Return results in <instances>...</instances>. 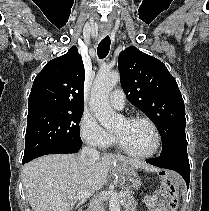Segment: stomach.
<instances>
[{"instance_id":"1","label":"stomach","mask_w":209,"mask_h":211,"mask_svg":"<svg viewBox=\"0 0 209 211\" xmlns=\"http://www.w3.org/2000/svg\"><path fill=\"white\" fill-rule=\"evenodd\" d=\"M117 174L119 176L120 186L125 191L133 192L141 187V179L129 166L118 167Z\"/></svg>"}]
</instances>
